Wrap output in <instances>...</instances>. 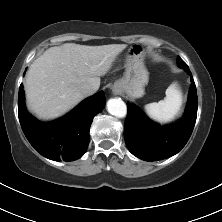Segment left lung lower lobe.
I'll use <instances>...</instances> for the list:
<instances>
[{
  "label": "left lung lower lobe",
  "mask_w": 222,
  "mask_h": 222,
  "mask_svg": "<svg viewBox=\"0 0 222 222\" xmlns=\"http://www.w3.org/2000/svg\"><path fill=\"white\" fill-rule=\"evenodd\" d=\"M190 75L191 87L185 114L180 122L160 126L148 119L134 104L127 103L128 114L124 128V138L129 151L146 161L169 158L178 153L187 143L197 117V91Z\"/></svg>",
  "instance_id": "obj_1"
}]
</instances>
